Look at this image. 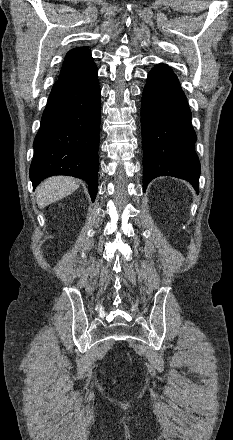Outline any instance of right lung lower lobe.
Masks as SVG:
<instances>
[{
	"label": "right lung lower lobe",
	"instance_id": "1",
	"mask_svg": "<svg viewBox=\"0 0 233 440\" xmlns=\"http://www.w3.org/2000/svg\"><path fill=\"white\" fill-rule=\"evenodd\" d=\"M100 112L96 65L55 82L33 144L29 175L34 188L52 175L74 176L86 180L94 201Z\"/></svg>",
	"mask_w": 233,
	"mask_h": 440
}]
</instances>
